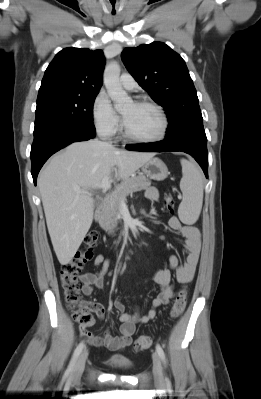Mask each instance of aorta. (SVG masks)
<instances>
[{"label": "aorta", "instance_id": "aorta-1", "mask_svg": "<svg viewBox=\"0 0 261 399\" xmlns=\"http://www.w3.org/2000/svg\"><path fill=\"white\" fill-rule=\"evenodd\" d=\"M120 71V65L117 62L109 63L104 71V84L117 110L131 103V98L120 83Z\"/></svg>", "mask_w": 261, "mask_h": 399}]
</instances>
